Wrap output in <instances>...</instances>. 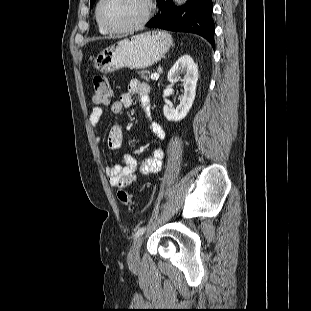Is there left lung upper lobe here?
<instances>
[{
	"instance_id": "left-lung-upper-lobe-1",
	"label": "left lung upper lobe",
	"mask_w": 311,
	"mask_h": 311,
	"mask_svg": "<svg viewBox=\"0 0 311 311\" xmlns=\"http://www.w3.org/2000/svg\"><path fill=\"white\" fill-rule=\"evenodd\" d=\"M96 0H90V7L94 4Z\"/></svg>"
}]
</instances>
